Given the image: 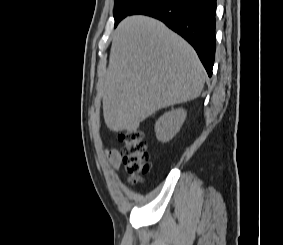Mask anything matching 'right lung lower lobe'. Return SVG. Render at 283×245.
I'll list each match as a JSON object with an SVG mask.
<instances>
[{
  "label": "right lung lower lobe",
  "mask_w": 283,
  "mask_h": 245,
  "mask_svg": "<svg viewBox=\"0 0 283 245\" xmlns=\"http://www.w3.org/2000/svg\"><path fill=\"white\" fill-rule=\"evenodd\" d=\"M216 0H146L129 15L144 14L163 21L196 50L209 76L215 57Z\"/></svg>",
  "instance_id": "right-lung-lower-lobe-1"
}]
</instances>
